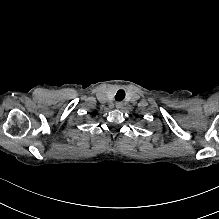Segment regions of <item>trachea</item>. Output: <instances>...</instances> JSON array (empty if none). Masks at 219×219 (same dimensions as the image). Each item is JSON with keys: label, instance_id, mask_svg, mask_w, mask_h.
<instances>
[{"label": "trachea", "instance_id": "trachea-1", "mask_svg": "<svg viewBox=\"0 0 219 219\" xmlns=\"http://www.w3.org/2000/svg\"><path fill=\"white\" fill-rule=\"evenodd\" d=\"M124 97H125V92H124V90H118V91H117V94L115 95V99H116L117 101H122V100L124 99Z\"/></svg>", "mask_w": 219, "mask_h": 219}]
</instances>
